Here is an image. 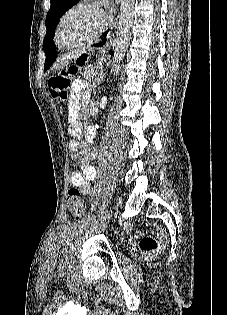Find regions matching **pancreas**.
<instances>
[{
  "label": "pancreas",
  "mask_w": 227,
  "mask_h": 315,
  "mask_svg": "<svg viewBox=\"0 0 227 315\" xmlns=\"http://www.w3.org/2000/svg\"><path fill=\"white\" fill-rule=\"evenodd\" d=\"M102 71L101 67H97L96 65H89L87 68H85L84 77L88 81H95L96 76L99 75V73Z\"/></svg>",
  "instance_id": "1"
}]
</instances>
